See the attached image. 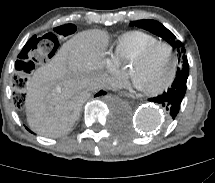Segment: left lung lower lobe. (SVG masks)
<instances>
[{"mask_svg":"<svg viewBox=\"0 0 215 183\" xmlns=\"http://www.w3.org/2000/svg\"><path fill=\"white\" fill-rule=\"evenodd\" d=\"M188 74L181 73L176 75L172 86L161 95L150 98L149 101L160 104L167 111V119H174L180 109L181 102L186 92Z\"/></svg>","mask_w":215,"mask_h":183,"instance_id":"1","label":"left lung lower lobe"}]
</instances>
